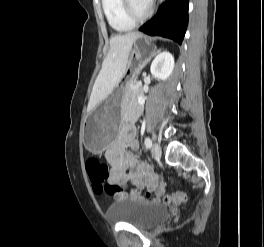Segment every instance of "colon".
I'll return each mask as SVG.
<instances>
[{
  "label": "colon",
  "instance_id": "obj_1",
  "mask_svg": "<svg viewBox=\"0 0 264 247\" xmlns=\"http://www.w3.org/2000/svg\"><path fill=\"white\" fill-rule=\"evenodd\" d=\"M86 170L92 183L93 189L96 192H105L113 196H117L121 193L122 188L120 186L109 182V168L100 159L95 157L88 158L86 160ZM130 192L133 195H138L141 191L137 188H133L130 190ZM146 195H149V193H146ZM182 198H184L183 193L167 194L165 196V202L171 204Z\"/></svg>",
  "mask_w": 264,
  "mask_h": 247
}]
</instances>
